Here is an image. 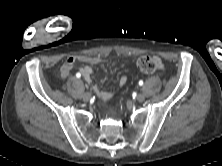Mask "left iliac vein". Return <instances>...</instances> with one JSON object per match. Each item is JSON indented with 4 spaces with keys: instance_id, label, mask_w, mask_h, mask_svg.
<instances>
[{
    "instance_id": "1",
    "label": "left iliac vein",
    "mask_w": 222,
    "mask_h": 166,
    "mask_svg": "<svg viewBox=\"0 0 222 166\" xmlns=\"http://www.w3.org/2000/svg\"><path fill=\"white\" fill-rule=\"evenodd\" d=\"M144 99H145L144 94L139 93V94L137 95V101H139V102H143V101H144Z\"/></svg>"
}]
</instances>
